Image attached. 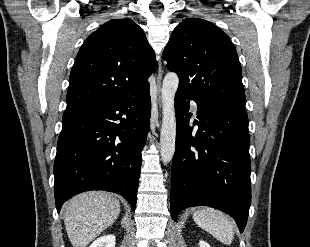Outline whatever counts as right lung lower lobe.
Instances as JSON below:
<instances>
[{
	"label": "right lung lower lobe",
	"mask_w": 310,
	"mask_h": 247,
	"mask_svg": "<svg viewBox=\"0 0 310 247\" xmlns=\"http://www.w3.org/2000/svg\"><path fill=\"white\" fill-rule=\"evenodd\" d=\"M150 114L149 88L65 109L54 162L58 213L66 200L88 190L118 193L135 209Z\"/></svg>",
	"instance_id": "obj_1"
}]
</instances>
